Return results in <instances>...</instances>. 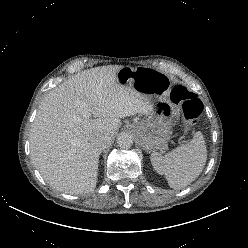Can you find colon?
Returning <instances> with one entry per match:
<instances>
[{
    "label": "colon",
    "mask_w": 248,
    "mask_h": 248,
    "mask_svg": "<svg viewBox=\"0 0 248 248\" xmlns=\"http://www.w3.org/2000/svg\"><path fill=\"white\" fill-rule=\"evenodd\" d=\"M171 98L175 103L181 105L182 114L187 128H192L202 111V103L200 100L183 85H178L173 88Z\"/></svg>",
    "instance_id": "obj_1"
}]
</instances>
